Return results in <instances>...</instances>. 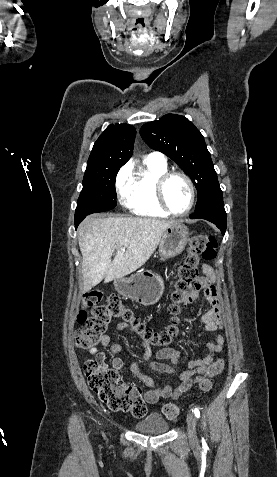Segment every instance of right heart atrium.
I'll return each mask as SVG.
<instances>
[{
	"instance_id": "obj_1",
	"label": "right heart atrium",
	"mask_w": 277,
	"mask_h": 477,
	"mask_svg": "<svg viewBox=\"0 0 277 477\" xmlns=\"http://www.w3.org/2000/svg\"><path fill=\"white\" fill-rule=\"evenodd\" d=\"M132 182L131 167L129 164L124 165L117 173L115 179L116 189L118 191L120 200L126 203L130 186Z\"/></svg>"
}]
</instances>
